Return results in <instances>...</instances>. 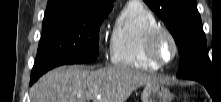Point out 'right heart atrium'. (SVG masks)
<instances>
[{
  "label": "right heart atrium",
  "mask_w": 221,
  "mask_h": 102,
  "mask_svg": "<svg viewBox=\"0 0 221 102\" xmlns=\"http://www.w3.org/2000/svg\"><path fill=\"white\" fill-rule=\"evenodd\" d=\"M102 39V29L100 28L98 30V40L100 41Z\"/></svg>",
  "instance_id": "d8ad5b80"
}]
</instances>
